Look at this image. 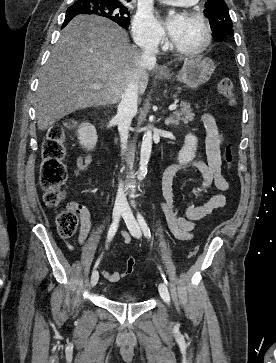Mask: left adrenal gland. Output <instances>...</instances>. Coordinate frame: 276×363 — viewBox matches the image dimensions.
<instances>
[{
	"instance_id": "obj_1",
	"label": "left adrenal gland",
	"mask_w": 276,
	"mask_h": 363,
	"mask_svg": "<svg viewBox=\"0 0 276 363\" xmlns=\"http://www.w3.org/2000/svg\"><path fill=\"white\" fill-rule=\"evenodd\" d=\"M165 124H166L167 126H169V125H177V124H178V122H177V120H175L173 117H169V118H167V119L165 120Z\"/></svg>"
}]
</instances>
